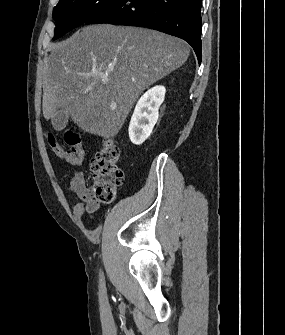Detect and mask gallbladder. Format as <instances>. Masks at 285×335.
Wrapping results in <instances>:
<instances>
[{
	"label": "gallbladder",
	"mask_w": 285,
	"mask_h": 335,
	"mask_svg": "<svg viewBox=\"0 0 285 335\" xmlns=\"http://www.w3.org/2000/svg\"><path fill=\"white\" fill-rule=\"evenodd\" d=\"M68 118L69 116L68 114H65V112H59V114H56V116L52 118V126L54 130H57V132L64 130V128H66Z\"/></svg>",
	"instance_id": "gallbladder-1"
}]
</instances>
